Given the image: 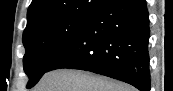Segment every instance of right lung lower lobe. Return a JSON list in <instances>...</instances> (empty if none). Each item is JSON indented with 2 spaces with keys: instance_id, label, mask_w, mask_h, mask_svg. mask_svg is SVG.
<instances>
[{
  "instance_id": "1",
  "label": "right lung lower lobe",
  "mask_w": 173,
  "mask_h": 91,
  "mask_svg": "<svg viewBox=\"0 0 173 91\" xmlns=\"http://www.w3.org/2000/svg\"><path fill=\"white\" fill-rule=\"evenodd\" d=\"M149 36L145 0H110L92 15L46 72L81 69L150 91Z\"/></svg>"
}]
</instances>
